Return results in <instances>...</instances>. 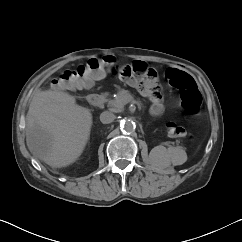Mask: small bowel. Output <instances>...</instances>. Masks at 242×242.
I'll return each instance as SVG.
<instances>
[{
	"label": "small bowel",
	"mask_w": 242,
	"mask_h": 242,
	"mask_svg": "<svg viewBox=\"0 0 242 242\" xmlns=\"http://www.w3.org/2000/svg\"><path fill=\"white\" fill-rule=\"evenodd\" d=\"M137 62L145 63V62H143V61H135L134 63H137ZM175 69H176V68H175ZM122 70H123V67H121L120 72H119V77H120L122 80L126 81V82H127L130 86H132V87H140V82H139L137 79H135V78H130V79H126V78H124V77L121 75ZM97 78H98V77H97ZM141 90H142L143 92H146V89H145L144 87H141Z\"/></svg>",
	"instance_id": "small-bowel-1"
}]
</instances>
